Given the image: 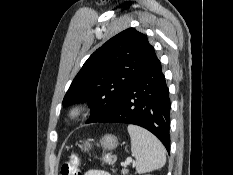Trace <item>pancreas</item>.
<instances>
[{"label": "pancreas", "instance_id": "1", "mask_svg": "<svg viewBox=\"0 0 233 175\" xmlns=\"http://www.w3.org/2000/svg\"><path fill=\"white\" fill-rule=\"evenodd\" d=\"M122 174L127 175L128 174V169H126V168L122 169Z\"/></svg>", "mask_w": 233, "mask_h": 175}]
</instances>
